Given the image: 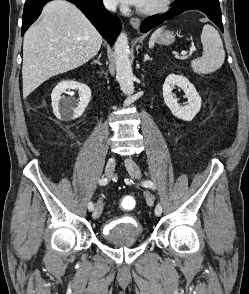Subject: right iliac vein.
<instances>
[{
	"mask_svg": "<svg viewBox=\"0 0 249 294\" xmlns=\"http://www.w3.org/2000/svg\"><path fill=\"white\" fill-rule=\"evenodd\" d=\"M115 166H116V160L115 157H110L109 160L107 161L106 167H105V176L108 179H111L114 171H115ZM103 211V202L102 200H98V202L96 203L95 209L93 211V218L94 219H98Z\"/></svg>",
	"mask_w": 249,
	"mask_h": 294,
	"instance_id": "right-iliac-vein-1",
	"label": "right iliac vein"
}]
</instances>
